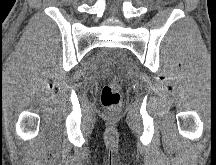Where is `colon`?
Masks as SVG:
<instances>
[{
    "label": "colon",
    "mask_w": 216,
    "mask_h": 165,
    "mask_svg": "<svg viewBox=\"0 0 216 165\" xmlns=\"http://www.w3.org/2000/svg\"><path fill=\"white\" fill-rule=\"evenodd\" d=\"M122 80L113 77L101 91V103L110 114H116L120 109Z\"/></svg>",
    "instance_id": "colon-1"
}]
</instances>
